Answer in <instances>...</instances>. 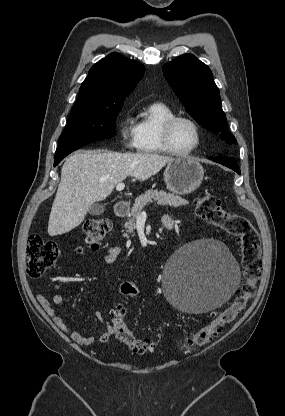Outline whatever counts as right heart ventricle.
Instances as JSON below:
<instances>
[{
  "label": "right heart ventricle",
  "instance_id": "right-heart-ventricle-1",
  "mask_svg": "<svg viewBox=\"0 0 285 416\" xmlns=\"http://www.w3.org/2000/svg\"><path fill=\"white\" fill-rule=\"evenodd\" d=\"M173 115L175 113L171 107L161 100L153 101L138 114L136 130L140 152L146 154L166 153L161 141V127Z\"/></svg>",
  "mask_w": 285,
  "mask_h": 416
}]
</instances>
